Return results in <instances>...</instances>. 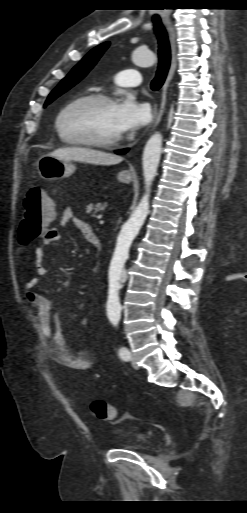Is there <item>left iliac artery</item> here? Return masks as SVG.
Here are the masks:
<instances>
[{
  "label": "left iliac artery",
  "instance_id": "1",
  "mask_svg": "<svg viewBox=\"0 0 247 513\" xmlns=\"http://www.w3.org/2000/svg\"><path fill=\"white\" fill-rule=\"evenodd\" d=\"M113 324H114V326H118V322L117 321H114ZM119 356L124 361H129L130 357H131L129 350L126 347H124V346L119 348Z\"/></svg>",
  "mask_w": 247,
  "mask_h": 513
}]
</instances>
